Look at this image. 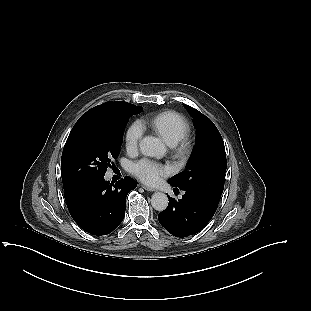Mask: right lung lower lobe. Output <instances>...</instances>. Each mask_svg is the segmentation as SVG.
<instances>
[{
  "label": "right lung lower lobe",
  "mask_w": 311,
  "mask_h": 311,
  "mask_svg": "<svg viewBox=\"0 0 311 311\" xmlns=\"http://www.w3.org/2000/svg\"><path fill=\"white\" fill-rule=\"evenodd\" d=\"M137 182L131 177L111 184L103 178L89 181L65 191V200L75 222L93 235L111 233L122 222L126 196Z\"/></svg>",
  "instance_id": "1"
}]
</instances>
